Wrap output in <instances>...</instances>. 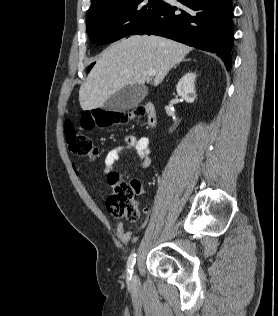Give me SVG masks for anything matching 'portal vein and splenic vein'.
Instances as JSON below:
<instances>
[{
  "instance_id": "portal-vein-and-splenic-vein-1",
  "label": "portal vein and splenic vein",
  "mask_w": 278,
  "mask_h": 316,
  "mask_svg": "<svg viewBox=\"0 0 278 316\" xmlns=\"http://www.w3.org/2000/svg\"><path fill=\"white\" fill-rule=\"evenodd\" d=\"M147 74H148V76L153 77L156 75V71L153 69H150V70H148Z\"/></svg>"
}]
</instances>
